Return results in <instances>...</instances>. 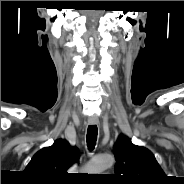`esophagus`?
Returning <instances> with one entry per match:
<instances>
[{
    "label": "esophagus",
    "instance_id": "obj_1",
    "mask_svg": "<svg viewBox=\"0 0 184 184\" xmlns=\"http://www.w3.org/2000/svg\"><path fill=\"white\" fill-rule=\"evenodd\" d=\"M99 123V119L97 117H89L88 124L89 125H97Z\"/></svg>",
    "mask_w": 184,
    "mask_h": 184
}]
</instances>
